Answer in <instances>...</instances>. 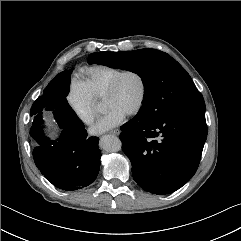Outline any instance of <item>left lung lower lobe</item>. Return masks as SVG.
Instances as JSON below:
<instances>
[{
    "label": "left lung lower lobe",
    "mask_w": 241,
    "mask_h": 241,
    "mask_svg": "<svg viewBox=\"0 0 241 241\" xmlns=\"http://www.w3.org/2000/svg\"><path fill=\"white\" fill-rule=\"evenodd\" d=\"M122 149L145 191L170 194L195 174L207 138L205 110H176L158 119L137 114L121 126Z\"/></svg>",
    "instance_id": "obj_1"
}]
</instances>
